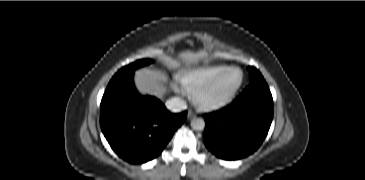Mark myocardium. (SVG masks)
Masks as SVG:
<instances>
[{"instance_id": "myocardium-1", "label": "myocardium", "mask_w": 365, "mask_h": 180, "mask_svg": "<svg viewBox=\"0 0 365 180\" xmlns=\"http://www.w3.org/2000/svg\"><path fill=\"white\" fill-rule=\"evenodd\" d=\"M231 70H237L240 73V81L235 89L225 98L217 101H207L204 99V94L210 89V87L226 72ZM244 83V72L241 68L237 66H228L216 74L213 78L207 81L205 84L197 88L192 93L193 103L197 106L198 109L203 111H215L222 109L229 104H231L235 98L237 97L239 91L241 90Z\"/></svg>"}]
</instances>
